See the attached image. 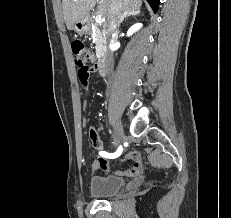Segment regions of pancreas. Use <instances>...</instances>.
Wrapping results in <instances>:
<instances>
[{
  "instance_id": "cf45deb5",
  "label": "pancreas",
  "mask_w": 231,
  "mask_h": 218,
  "mask_svg": "<svg viewBox=\"0 0 231 218\" xmlns=\"http://www.w3.org/2000/svg\"><path fill=\"white\" fill-rule=\"evenodd\" d=\"M91 37L93 41L96 43V48L101 51L105 44L104 33L100 30L97 25L92 27Z\"/></svg>"
}]
</instances>
